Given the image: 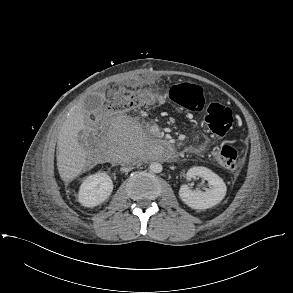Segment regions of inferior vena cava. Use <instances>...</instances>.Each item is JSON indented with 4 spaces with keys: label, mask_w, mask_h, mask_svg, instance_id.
Listing matches in <instances>:
<instances>
[{
    "label": "inferior vena cava",
    "mask_w": 293,
    "mask_h": 293,
    "mask_svg": "<svg viewBox=\"0 0 293 293\" xmlns=\"http://www.w3.org/2000/svg\"><path fill=\"white\" fill-rule=\"evenodd\" d=\"M135 161L128 162L124 167L121 168L123 172H129L133 169V164Z\"/></svg>",
    "instance_id": "inferior-vena-cava-1"
}]
</instances>
